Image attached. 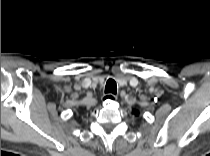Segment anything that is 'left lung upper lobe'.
<instances>
[{"instance_id": "5c2ea615", "label": "left lung upper lobe", "mask_w": 210, "mask_h": 156, "mask_svg": "<svg viewBox=\"0 0 210 156\" xmlns=\"http://www.w3.org/2000/svg\"><path fill=\"white\" fill-rule=\"evenodd\" d=\"M133 114H135L136 116H138L139 112H138V111L133 110Z\"/></svg>"}]
</instances>
